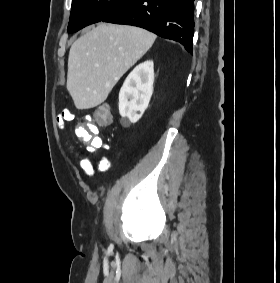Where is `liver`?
I'll use <instances>...</instances> for the list:
<instances>
[{"label":"liver","instance_id":"1","mask_svg":"<svg viewBox=\"0 0 280 283\" xmlns=\"http://www.w3.org/2000/svg\"><path fill=\"white\" fill-rule=\"evenodd\" d=\"M155 39L145 29L111 23H100L77 39L69 51L66 84L76 108L103 103Z\"/></svg>","mask_w":280,"mask_h":283}]
</instances>
